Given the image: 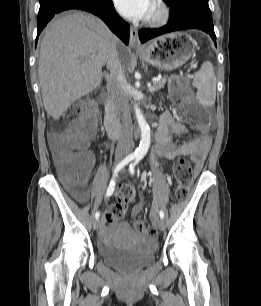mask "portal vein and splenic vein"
I'll return each mask as SVG.
<instances>
[{
    "label": "portal vein and splenic vein",
    "mask_w": 261,
    "mask_h": 306,
    "mask_svg": "<svg viewBox=\"0 0 261 306\" xmlns=\"http://www.w3.org/2000/svg\"><path fill=\"white\" fill-rule=\"evenodd\" d=\"M156 81V80H155ZM149 91H153L154 89L152 88L151 84H148Z\"/></svg>",
    "instance_id": "obj_1"
}]
</instances>
